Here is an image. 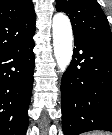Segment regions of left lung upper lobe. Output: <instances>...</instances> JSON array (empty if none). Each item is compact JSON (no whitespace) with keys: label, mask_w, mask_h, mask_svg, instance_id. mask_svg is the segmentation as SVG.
Masks as SVG:
<instances>
[{"label":"left lung upper lobe","mask_w":112,"mask_h":135,"mask_svg":"<svg viewBox=\"0 0 112 135\" xmlns=\"http://www.w3.org/2000/svg\"><path fill=\"white\" fill-rule=\"evenodd\" d=\"M56 10L69 16L74 36L112 42L107 17L96 0H56Z\"/></svg>","instance_id":"obj_1"}]
</instances>
